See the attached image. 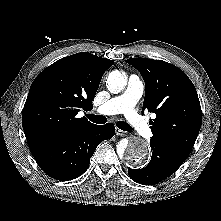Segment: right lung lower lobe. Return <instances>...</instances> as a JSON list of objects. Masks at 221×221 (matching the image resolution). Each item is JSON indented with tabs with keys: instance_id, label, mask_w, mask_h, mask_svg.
<instances>
[{
	"instance_id": "obj_1",
	"label": "right lung lower lobe",
	"mask_w": 221,
	"mask_h": 221,
	"mask_svg": "<svg viewBox=\"0 0 221 221\" xmlns=\"http://www.w3.org/2000/svg\"><path fill=\"white\" fill-rule=\"evenodd\" d=\"M115 133L111 123L91 125L79 131L31 147L40 168L50 177L68 181L82 175L88 168L97 145Z\"/></svg>"
}]
</instances>
